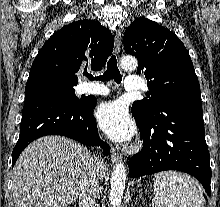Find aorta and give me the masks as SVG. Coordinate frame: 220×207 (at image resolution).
<instances>
[{
	"instance_id": "762f6f07",
	"label": "aorta",
	"mask_w": 220,
	"mask_h": 207,
	"mask_svg": "<svg viewBox=\"0 0 220 207\" xmlns=\"http://www.w3.org/2000/svg\"><path fill=\"white\" fill-rule=\"evenodd\" d=\"M137 60L133 56H124L121 59V67L125 70H135ZM126 184V168L122 162L117 163L110 179V201L112 207H120Z\"/></svg>"
}]
</instances>
